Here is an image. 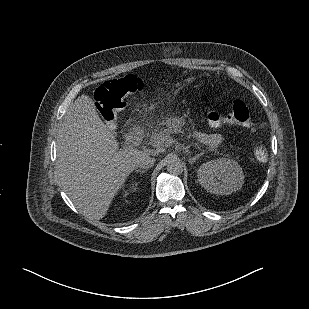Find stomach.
I'll return each mask as SVG.
<instances>
[{"label":"stomach","instance_id":"0dacf381","mask_svg":"<svg viewBox=\"0 0 309 309\" xmlns=\"http://www.w3.org/2000/svg\"><path fill=\"white\" fill-rule=\"evenodd\" d=\"M168 126H172V124L181 127L183 125V120L178 118H173L168 120Z\"/></svg>","mask_w":309,"mask_h":309}]
</instances>
